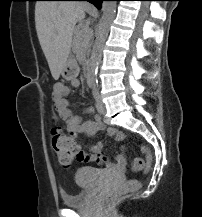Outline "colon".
<instances>
[{
  "label": "colon",
  "instance_id": "1",
  "mask_svg": "<svg viewBox=\"0 0 202 217\" xmlns=\"http://www.w3.org/2000/svg\"><path fill=\"white\" fill-rule=\"evenodd\" d=\"M51 148L54 155L58 159L59 163L63 167H70L74 160H80L85 156V151L80 149L71 136H68L61 132L59 128H54L51 131ZM143 152L146 155L147 162L141 158H134L132 161V169L134 171H143L145 174H149L151 171L152 165V154L150 149L147 146L142 147ZM140 187V182L136 179L129 180L127 183L122 185L120 190L108 194L104 202L107 205L113 204L117 197L126 190H137Z\"/></svg>",
  "mask_w": 202,
  "mask_h": 217
}]
</instances>
